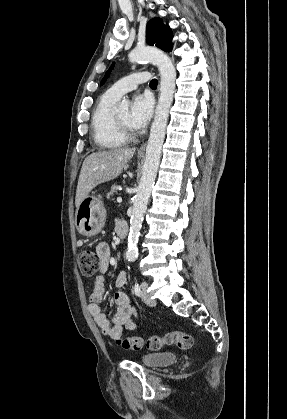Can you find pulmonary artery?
I'll list each match as a JSON object with an SVG mask.
<instances>
[{
  "label": "pulmonary artery",
  "mask_w": 287,
  "mask_h": 419,
  "mask_svg": "<svg viewBox=\"0 0 287 419\" xmlns=\"http://www.w3.org/2000/svg\"><path fill=\"white\" fill-rule=\"evenodd\" d=\"M149 80L150 74L148 72L132 73L114 83L107 90V94L115 99H119L123 94L136 89L140 84Z\"/></svg>",
  "instance_id": "1"
}]
</instances>
